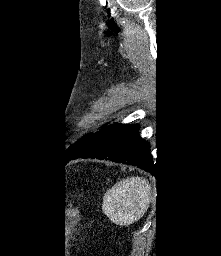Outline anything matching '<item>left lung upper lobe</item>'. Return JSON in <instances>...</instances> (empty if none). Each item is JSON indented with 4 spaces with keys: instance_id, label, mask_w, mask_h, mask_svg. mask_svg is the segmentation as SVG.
I'll return each instance as SVG.
<instances>
[{
    "instance_id": "left-lung-upper-lobe-1",
    "label": "left lung upper lobe",
    "mask_w": 221,
    "mask_h": 256,
    "mask_svg": "<svg viewBox=\"0 0 221 256\" xmlns=\"http://www.w3.org/2000/svg\"><path fill=\"white\" fill-rule=\"evenodd\" d=\"M92 135V133L83 136L82 139H78L73 145H71L67 150H66V154L64 155L66 160L69 159L70 156H72L76 150L82 145V143Z\"/></svg>"
}]
</instances>
